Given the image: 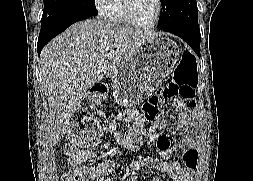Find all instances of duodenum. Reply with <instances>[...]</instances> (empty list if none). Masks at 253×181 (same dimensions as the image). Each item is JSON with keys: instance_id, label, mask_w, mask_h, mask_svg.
Here are the masks:
<instances>
[{"instance_id": "1", "label": "duodenum", "mask_w": 253, "mask_h": 181, "mask_svg": "<svg viewBox=\"0 0 253 181\" xmlns=\"http://www.w3.org/2000/svg\"><path fill=\"white\" fill-rule=\"evenodd\" d=\"M106 93L104 85H95L89 90V97L93 101H101Z\"/></svg>"}]
</instances>
